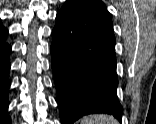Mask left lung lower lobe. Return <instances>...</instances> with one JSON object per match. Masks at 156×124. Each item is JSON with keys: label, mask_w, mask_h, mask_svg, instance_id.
I'll list each match as a JSON object with an SVG mask.
<instances>
[{"label": "left lung lower lobe", "mask_w": 156, "mask_h": 124, "mask_svg": "<svg viewBox=\"0 0 156 124\" xmlns=\"http://www.w3.org/2000/svg\"><path fill=\"white\" fill-rule=\"evenodd\" d=\"M52 37L61 123L99 113L121 121L112 20L82 0H67L56 16Z\"/></svg>", "instance_id": "obj_1"}]
</instances>
